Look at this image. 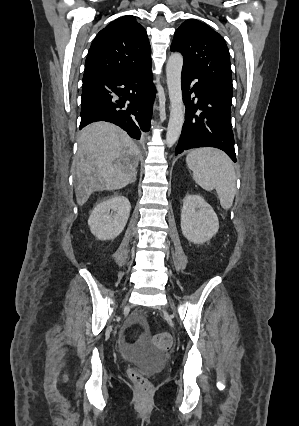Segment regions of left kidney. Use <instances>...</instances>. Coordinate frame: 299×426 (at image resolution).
Returning <instances> with one entry per match:
<instances>
[{
  "instance_id": "5707ae66",
  "label": "left kidney",
  "mask_w": 299,
  "mask_h": 426,
  "mask_svg": "<svg viewBox=\"0 0 299 426\" xmlns=\"http://www.w3.org/2000/svg\"><path fill=\"white\" fill-rule=\"evenodd\" d=\"M219 229L213 208L200 195H186L181 210V230L194 244L209 241Z\"/></svg>"
}]
</instances>
